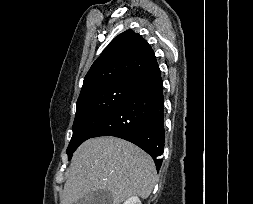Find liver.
Masks as SVG:
<instances>
[{
    "label": "liver",
    "instance_id": "liver-1",
    "mask_svg": "<svg viewBox=\"0 0 253 204\" xmlns=\"http://www.w3.org/2000/svg\"><path fill=\"white\" fill-rule=\"evenodd\" d=\"M61 204H74L96 190H108L113 204L132 196L146 199L156 183L153 159L136 145L117 137L85 141L66 172Z\"/></svg>",
    "mask_w": 253,
    "mask_h": 204
}]
</instances>
